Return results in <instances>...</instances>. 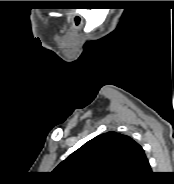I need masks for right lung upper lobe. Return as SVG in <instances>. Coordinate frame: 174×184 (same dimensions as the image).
Returning a JSON list of instances; mask_svg holds the SVG:
<instances>
[{"mask_svg": "<svg viewBox=\"0 0 174 184\" xmlns=\"http://www.w3.org/2000/svg\"><path fill=\"white\" fill-rule=\"evenodd\" d=\"M147 163L138 143L110 131L86 142L53 172L66 184H115L134 178Z\"/></svg>", "mask_w": 174, "mask_h": 184, "instance_id": "1", "label": "right lung upper lobe"}]
</instances>
